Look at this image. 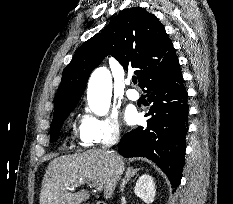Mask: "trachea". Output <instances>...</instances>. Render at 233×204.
I'll return each instance as SVG.
<instances>
[{"label":"trachea","instance_id":"obj_1","mask_svg":"<svg viewBox=\"0 0 233 204\" xmlns=\"http://www.w3.org/2000/svg\"><path fill=\"white\" fill-rule=\"evenodd\" d=\"M132 82H133L134 84H136V83H137V78H136V77H133V78H132Z\"/></svg>","mask_w":233,"mask_h":204}]
</instances>
